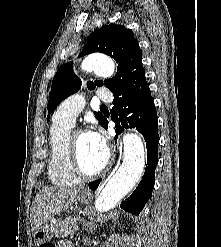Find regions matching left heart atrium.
<instances>
[{"label":"left heart atrium","instance_id":"left-heart-atrium-1","mask_svg":"<svg viewBox=\"0 0 221 247\" xmlns=\"http://www.w3.org/2000/svg\"><path fill=\"white\" fill-rule=\"evenodd\" d=\"M87 134L94 144L100 148H105V140L99 132L93 130L89 131Z\"/></svg>","mask_w":221,"mask_h":247}]
</instances>
